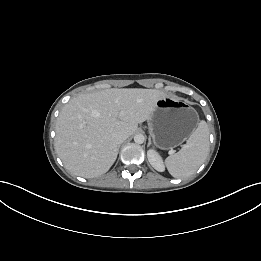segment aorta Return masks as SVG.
<instances>
[{
  "label": "aorta",
  "mask_w": 261,
  "mask_h": 261,
  "mask_svg": "<svg viewBox=\"0 0 261 261\" xmlns=\"http://www.w3.org/2000/svg\"><path fill=\"white\" fill-rule=\"evenodd\" d=\"M134 141H135V143H137V144H142V143L145 141V137H144L143 134H136V135L134 136Z\"/></svg>",
  "instance_id": "762f6f07"
}]
</instances>
